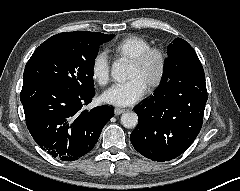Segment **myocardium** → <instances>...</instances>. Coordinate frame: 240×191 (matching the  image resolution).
Masks as SVG:
<instances>
[{"instance_id":"myocardium-1","label":"myocardium","mask_w":240,"mask_h":191,"mask_svg":"<svg viewBox=\"0 0 240 191\" xmlns=\"http://www.w3.org/2000/svg\"><path fill=\"white\" fill-rule=\"evenodd\" d=\"M156 58L158 61V71L155 77L147 83L149 90L156 89L163 82L167 70V55L159 47H150L137 57L131 59V63L137 67H144L151 59Z\"/></svg>"}]
</instances>
